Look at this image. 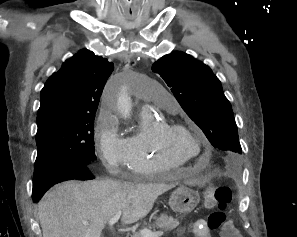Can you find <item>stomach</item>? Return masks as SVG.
Instances as JSON below:
<instances>
[{
    "label": "stomach",
    "mask_w": 297,
    "mask_h": 237,
    "mask_svg": "<svg viewBox=\"0 0 297 237\" xmlns=\"http://www.w3.org/2000/svg\"><path fill=\"white\" fill-rule=\"evenodd\" d=\"M199 200L197 192L182 186L171 194L169 205L175 212L188 214L198 205Z\"/></svg>",
    "instance_id": "1"
}]
</instances>
